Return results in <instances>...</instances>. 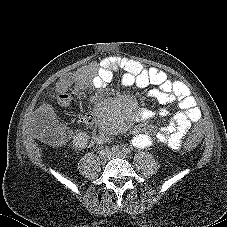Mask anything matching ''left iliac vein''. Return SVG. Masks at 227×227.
Wrapping results in <instances>:
<instances>
[{"label": "left iliac vein", "instance_id": "left-iliac-vein-1", "mask_svg": "<svg viewBox=\"0 0 227 227\" xmlns=\"http://www.w3.org/2000/svg\"><path fill=\"white\" fill-rule=\"evenodd\" d=\"M112 157H119V158H127V154L122 152V151H118V152H115V153H112L111 154Z\"/></svg>", "mask_w": 227, "mask_h": 227}]
</instances>
